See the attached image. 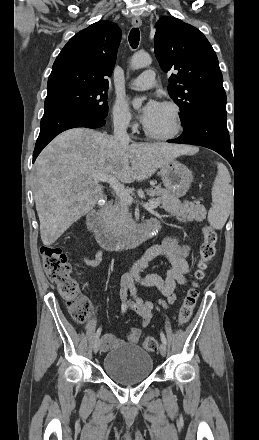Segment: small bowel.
Instances as JSON below:
<instances>
[{
	"instance_id": "small-bowel-1",
	"label": "small bowel",
	"mask_w": 259,
	"mask_h": 440,
	"mask_svg": "<svg viewBox=\"0 0 259 440\" xmlns=\"http://www.w3.org/2000/svg\"><path fill=\"white\" fill-rule=\"evenodd\" d=\"M190 253V245L182 243L173 235L164 237L159 245H154L146 250L143 256L133 265L131 270L124 274L120 283V297L122 300L121 310L123 313L132 312L140 318V326L147 327L152 318V312L156 305L168 307L177 299V285H186L187 276L190 273V265L187 260ZM102 258V252L97 251L94 259L83 256V262L87 266H96ZM156 258L166 260L170 268L165 277L158 274L141 276L140 271L148 263ZM136 285L143 287H156L166 298L157 304L143 300L137 293ZM141 336V328L130 329L125 340L115 337L111 333H105L101 339V349L106 352L112 348L127 344H137Z\"/></svg>"
}]
</instances>
